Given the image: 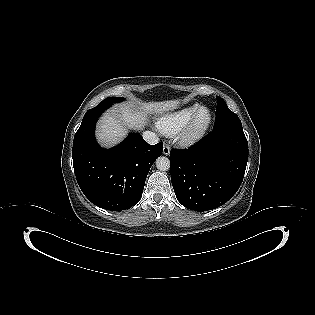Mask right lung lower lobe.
<instances>
[{"label": "right lung lower lobe", "mask_w": 315, "mask_h": 315, "mask_svg": "<svg viewBox=\"0 0 315 315\" xmlns=\"http://www.w3.org/2000/svg\"><path fill=\"white\" fill-rule=\"evenodd\" d=\"M112 104L89 109L73 141V167L79 187L96 206L122 211L137 204L148 172L162 154L163 143L147 144L135 133L111 149L101 148L94 137L99 116Z\"/></svg>", "instance_id": "98d812e1"}]
</instances>
